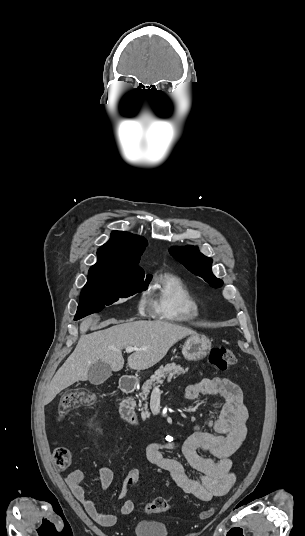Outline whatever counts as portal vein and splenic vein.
<instances>
[{
    "label": "portal vein and splenic vein",
    "mask_w": 305,
    "mask_h": 536,
    "mask_svg": "<svg viewBox=\"0 0 305 536\" xmlns=\"http://www.w3.org/2000/svg\"><path fill=\"white\" fill-rule=\"evenodd\" d=\"M139 352V350H146V348H132V346H127L125 352H127V354H131V352ZM155 390H157V388H155Z\"/></svg>",
    "instance_id": "obj_1"
}]
</instances>
